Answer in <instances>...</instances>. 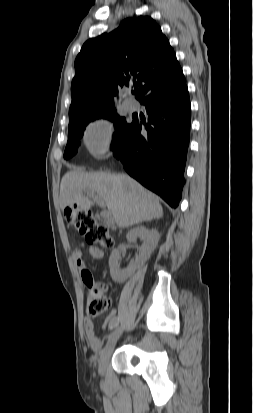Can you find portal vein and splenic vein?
Here are the masks:
<instances>
[{"instance_id":"1","label":"portal vein and splenic vein","mask_w":253,"mask_h":413,"mask_svg":"<svg viewBox=\"0 0 253 413\" xmlns=\"http://www.w3.org/2000/svg\"><path fill=\"white\" fill-rule=\"evenodd\" d=\"M87 195H88L89 197H91V198H92L97 204H99L102 208H105V203H104V201H103L99 196H97V195L94 193V191H89V192H87ZM103 216L106 217V218H108V217L111 216V214H110V212L104 211Z\"/></svg>"}]
</instances>
